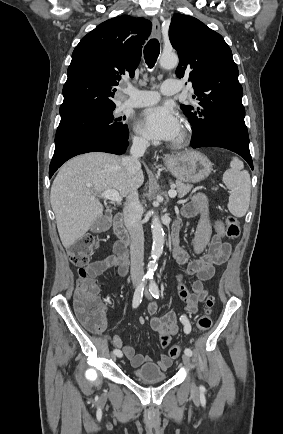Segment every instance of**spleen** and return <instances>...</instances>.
Returning <instances> with one entry per match:
<instances>
[{"mask_svg": "<svg viewBox=\"0 0 283 434\" xmlns=\"http://www.w3.org/2000/svg\"><path fill=\"white\" fill-rule=\"evenodd\" d=\"M243 169V162L234 157L230 163V168L223 174V182L230 190L228 209L236 217H242L246 214L250 202V175Z\"/></svg>", "mask_w": 283, "mask_h": 434, "instance_id": "3e777b00", "label": "spleen"}]
</instances>
